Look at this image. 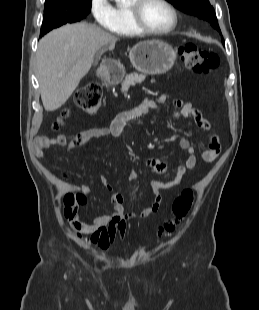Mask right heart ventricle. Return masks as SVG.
I'll use <instances>...</instances> for the list:
<instances>
[{"label": "right heart ventricle", "instance_id": "e07e8e85", "mask_svg": "<svg viewBox=\"0 0 259 310\" xmlns=\"http://www.w3.org/2000/svg\"><path fill=\"white\" fill-rule=\"evenodd\" d=\"M133 0H128V3L125 5H117L114 9V21L113 25L110 29L122 36H134L137 35L139 32L134 28L131 23L129 13H128V5Z\"/></svg>", "mask_w": 259, "mask_h": 310}]
</instances>
